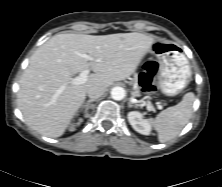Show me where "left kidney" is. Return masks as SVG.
<instances>
[{
  "instance_id": "1",
  "label": "left kidney",
  "mask_w": 222,
  "mask_h": 187,
  "mask_svg": "<svg viewBox=\"0 0 222 187\" xmlns=\"http://www.w3.org/2000/svg\"><path fill=\"white\" fill-rule=\"evenodd\" d=\"M128 121L135 131L143 135H149L151 132L150 123L143 119V115L137 111L128 113Z\"/></svg>"
}]
</instances>
